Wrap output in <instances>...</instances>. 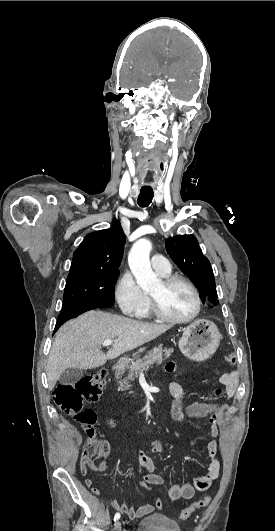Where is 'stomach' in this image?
I'll list each match as a JSON object with an SVG mask.
<instances>
[{"label": "stomach", "instance_id": "obj_1", "mask_svg": "<svg viewBox=\"0 0 275 531\" xmlns=\"http://www.w3.org/2000/svg\"><path fill=\"white\" fill-rule=\"evenodd\" d=\"M220 339L221 335L215 323L198 319L186 327L179 341V349L191 361H206L216 353ZM124 361L127 363L126 357Z\"/></svg>", "mask_w": 275, "mask_h": 531}]
</instances>
